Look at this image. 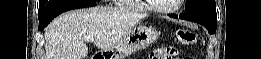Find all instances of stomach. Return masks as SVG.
I'll return each mask as SVG.
<instances>
[{"label": "stomach", "mask_w": 261, "mask_h": 59, "mask_svg": "<svg viewBox=\"0 0 261 59\" xmlns=\"http://www.w3.org/2000/svg\"><path fill=\"white\" fill-rule=\"evenodd\" d=\"M160 34L152 26H137L130 30L118 43L102 53L106 59H125L131 54L155 43Z\"/></svg>", "instance_id": "stomach-1"}]
</instances>
